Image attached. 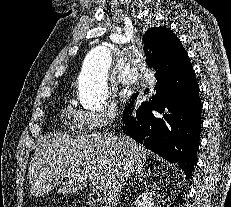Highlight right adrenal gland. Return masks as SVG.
<instances>
[{
    "label": "right adrenal gland",
    "instance_id": "1",
    "mask_svg": "<svg viewBox=\"0 0 231 207\" xmlns=\"http://www.w3.org/2000/svg\"><path fill=\"white\" fill-rule=\"evenodd\" d=\"M143 170H144V168H143V166H142V167H140V168L133 174V175H134V178H133L132 182L130 183V186L128 187L127 190H130L131 187H133V185L136 184V180H137L138 178L140 179V177H145V175H144V173H143Z\"/></svg>",
    "mask_w": 231,
    "mask_h": 207
}]
</instances>
